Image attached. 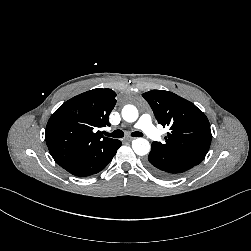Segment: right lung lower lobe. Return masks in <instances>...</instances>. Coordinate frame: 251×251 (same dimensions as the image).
Instances as JSON below:
<instances>
[{
	"label": "right lung lower lobe",
	"instance_id": "obj_1",
	"mask_svg": "<svg viewBox=\"0 0 251 251\" xmlns=\"http://www.w3.org/2000/svg\"><path fill=\"white\" fill-rule=\"evenodd\" d=\"M120 146L121 141L115 140L109 146L94 151L86 160L75 163L65 170L78 177L96 174L109 164Z\"/></svg>",
	"mask_w": 251,
	"mask_h": 251
}]
</instances>
